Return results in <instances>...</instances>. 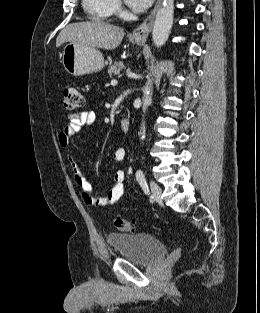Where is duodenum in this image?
Segmentation results:
<instances>
[{
  "label": "duodenum",
  "instance_id": "410a0bca",
  "mask_svg": "<svg viewBox=\"0 0 260 313\" xmlns=\"http://www.w3.org/2000/svg\"><path fill=\"white\" fill-rule=\"evenodd\" d=\"M121 127H122V131L125 134H128L130 131V121L128 118H123L121 120Z\"/></svg>",
  "mask_w": 260,
  "mask_h": 313
}]
</instances>
